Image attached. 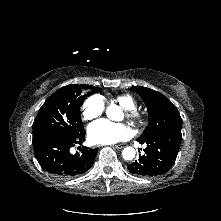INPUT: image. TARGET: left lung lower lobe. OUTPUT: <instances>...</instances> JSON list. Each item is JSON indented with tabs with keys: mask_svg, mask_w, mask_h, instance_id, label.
Returning <instances> with one entry per match:
<instances>
[{
	"mask_svg": "<svg viewBox=\"0 0 221 221\" xmlns=\"http://www.w3.org/2000/svg\"><path fill=\"white\" fill-rule=\"evenodd\" d=\"M182 135L177 132H159L144 139H137L145 143V154L127 166L128 170L139 176H157L164 174L172 167L181 143Z\"/></svg>",
	"mask_w": 221,
	"mask_h": 221,
	"instance_id": "0a47b994",
	"label": "left lung lower lobe"
}]
</instances>
